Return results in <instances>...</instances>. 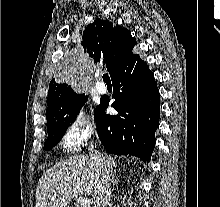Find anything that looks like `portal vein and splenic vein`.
<instances>
[{"instance_id": "portal-vein-and-splenic-vein-1", "label": "portal vein and splenic vein", "mask_w": 220, "mask_h": 207, "mask_svg": "<svg viewBox=\"0 0 220 207\" xmlns=\"http://www.w3.org/2000/svg\"><path fill=\"white\" fill-rule=\"evenodd\" d=\"M80 207H90V200L86 198L81 199Z\"/></svg>"}]
</instances>
